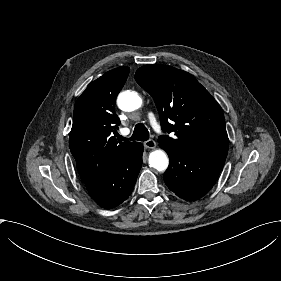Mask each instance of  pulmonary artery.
<instances>
[{
	"mask_svg": "<svg viewBox=\"0 0 281 281\" xmlns=\"http://www.w3.org/2000/svg\"><path fill=\"white\" fill-rule=\"evenodd\" d=\"M148 118H149V120H150V122H151V124H152V126H153V128H154V130H155L156 132H159L160 127H159V125L157 124L154 115H153L152 113H148ZM121 133H122V134H125V133H127V130H126V129H123V130L121 131Z\"/></svg>",
	"mask_w": 281,
	"mask_h": 281,
	"instance_id": "1",
	"label": "pulmonary artery"
}]
</instances>
